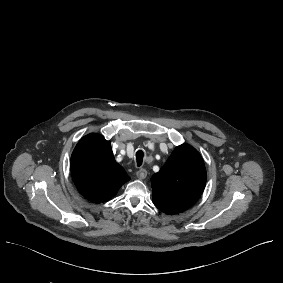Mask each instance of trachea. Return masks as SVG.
<instances>
[{"label":"trachea","mask_w":283,"mask_h":283,"mask_svg":"<svg viewBox=\"0 0 283 283\" xmlns=\"http://www.w3.org/2000/svg\"><path fill=\"white\" fill-rule=\"evenodd\" d=\"M144 159V152L142 150L137 151L136 153V160H137V166H141Z\"/></svg>","instance_id":"obj_1"}]
</instances>
